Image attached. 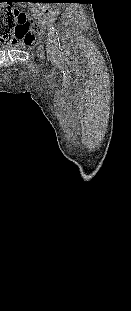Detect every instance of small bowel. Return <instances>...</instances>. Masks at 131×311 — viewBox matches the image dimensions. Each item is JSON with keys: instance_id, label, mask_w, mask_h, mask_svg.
Instances as JSON below:
<instances>
[{"instance_id": "small-bowel-1", "label": "small bowel", "mask_w": 131, "mask_h": 311, "mask_svg": "<svg viewBox=\"0 0 131 311\" xmlns=\"http://www.w3.org/2000/svg\"><path fill=\"white\" fill-rule=\"evenodd\" d=\"M4 37H6L4 35ZM10 38L13 44L32 45L35 42V33L27 32L24 25H19L10 33Z\"/></svg>"}]
</instances>
